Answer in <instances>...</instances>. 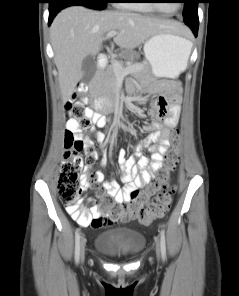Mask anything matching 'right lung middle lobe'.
<instances>
[{"mask_svg": "<svg viewBox=\"0 0 239 296\" xmlns=\"http://www.w3.org/2000/svg\"><path fill=\"white\" fill-rule=\"evenodd\" d=\"M54 0H49V4ZM68 6L81 5L92 9L102 10L110 0H64Z\"/></svg>", "mask_w": 239, "mask_h": 296, "instance_id": "right-lung-middle-lobe-1", "label": "right lung middle lobe"}]
</instances>
